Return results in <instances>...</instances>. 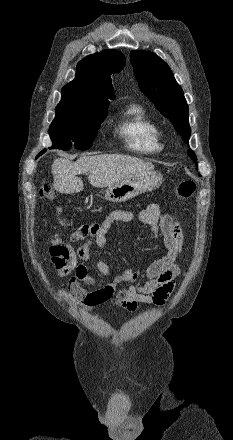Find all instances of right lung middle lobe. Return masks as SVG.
<instances>
[{
	"label": "right lung middle lobe",
	"instance_id": "right-lung-middle-lobe-1",
	"mask_svg": "<svg viewBox=\"0 0 233 440\" xmlns=\"http://www.w3.org/2000/svg\"><path fill=\"white\" fill-rule=\"evenodd\" d=\"M108 106L59 104L51 123L49 135L51 148L67 150L74 144L76 149L91 147L100 124L107 116Z\"/></svg>",
	"mask_w": 233,
	"mask_h": 440
}]
</instances>
